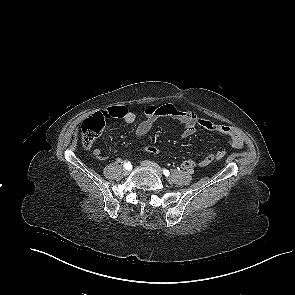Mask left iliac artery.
Returning a JSON list of instances; mask_svg holds the SVG:
<instances>
[{
  "mask_svg": "<svg viewBox=\"0 0 295 295\" xmlns=\"http://www.w3.org/2000/svg\"><path fill=\"white\" fill-rule=\"evenodd\" d=\"M163 174L168 177L170 175V172L167 169H163Z\"/></svg>",
  "mask_w": 295,
  "mask_h": 295,
  "instance_id": "44dca946",
  "label": "left iliac artery"
}]
</instances>
